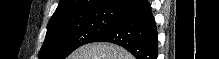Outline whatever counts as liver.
<instances>
[{"label": "liver", "instance_id": "6515ba94", "mask_svg": "<svg viewBox=\"0 0 219 59\" xmlns=\"http://www.w3.org/2000/svg\"><path fill=\"white\" fill-rule=\"evenodd\" d=\"M68 59H133V56L120 46L100 42L81 46Z\"/></svg>", "mask_w": 219, "mask_h": 59}]
</instances>
